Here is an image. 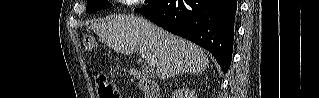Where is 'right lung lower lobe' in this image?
<instances>
[{
  "label": "right lung lower lobe",
  "mask_w": 319,
  "mask_h": 98,
  "mask_svg": "<svg viewBox=\"0 0 319 98\" xmlns=\"http://www.w3.org/2000/svg\"><path fill=\"white\" fill-rule=\"evenodd\" d=\"M237 0H150L136 12L211 52L224 72L232 59Z\"/></svg>",
  "instance_id": "obj_1"
}]
</instances>
